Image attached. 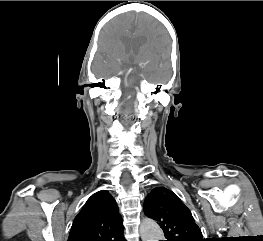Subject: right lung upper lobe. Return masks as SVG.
<instances>
[{"label": "right lung upper lobe", "instance_id": "right-lung-upper-lobe-1", "mask_svg": "<svg viewBox=\"0 0 263 241\" xmlns=\"http://www.w3.org/2000/svg\"><path fill=\"white\" fill-rule=\"evenodd\" d=\"M116 201L105 190L93 194L75 217L68 241H126Z\"/></svg>", "mask_w": 263, "mask_h": 241}]
</instances>
